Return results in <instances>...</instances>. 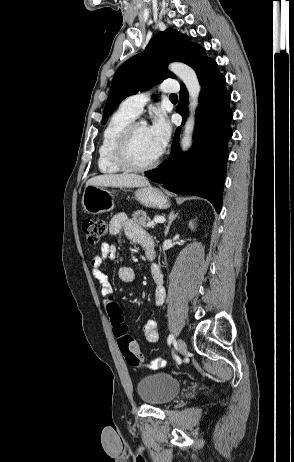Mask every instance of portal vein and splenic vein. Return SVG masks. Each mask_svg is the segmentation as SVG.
<instances>
[{
  "label": "portal vein and splenic vein",
  "mask_w": 294,
  "mask_h": 462,
  "mask_svg": "<svg viewBox=\"0 0 294 462\" xmlns=\"http://www.w3.org/2000/svg\"><path fill=\"white\" fill-rule=\"evenodd\" d=\"M163 222H165V218H164V217H155V218L149 223V225L154 224V223H163Z\"/></svg>",
  "instance_id": "1"
}]
</instances>
